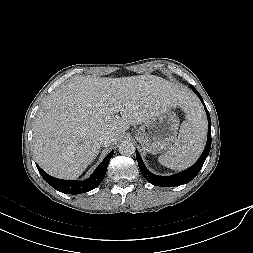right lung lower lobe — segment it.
<instances>
[{"mask_svg":"<svg viewBox=\"0 0 253 253\" xmlns=\"http://www.w3.org/2000/svg\"><path fill=\"white\" fill-rule=\"evenodd\" d=\"M114 151H111L97 167L90 178L84 181H68L54 178L44 172L38 165V171L43 179L56 190L66 194H79L85 193L95 189L104 179L108 163L112 158Z\"/></svg>","mask_w":253,"mask_h":253,"instance_id":"1","label":"right lung lower lobe"}]
</instances>
